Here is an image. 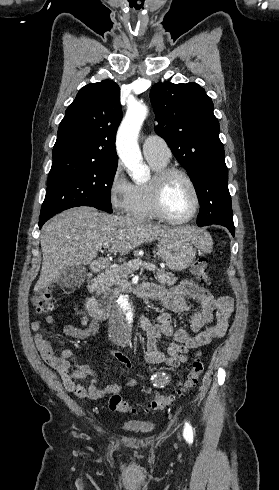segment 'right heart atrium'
<instances>
[{
    "mask_svg": "<svg viewBox=\"0 0 279 490\" xmlns=\"http://www.w3.org/2000/svg\"><path fill=\"white\" fill-rule=\"evenodd\" d=\"M108 199L113 212L120 216L129 214L135 204V185L120 162L116 163L109 178Z\"/></svg>",
    "mask_w": 279,
    "mask_h": 490,
    "instance_id": "right-heart-atrium-1",
    "label": "right heart atrium"
}]
</instances>
